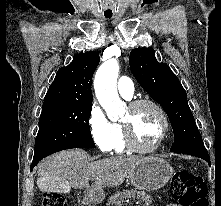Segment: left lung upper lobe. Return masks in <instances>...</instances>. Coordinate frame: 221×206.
Here are the masks:
<instances>
[{"label":"left lung upper lobe","instance_id":"obj_1","mask_svg":"<svg viewBox=\"0 0 221 206\" xmlns=\"http://www.w3.org/2000/svg\"><path fill=\"white\" fill-rule=\"evenodd\" d=\"M131 72L141 87L166 110L173 131L171 152L208 154L179 79L151 48H137L129 57Z\"/></svg>","mask_w":221,"mask_h":206}]
</instances>
